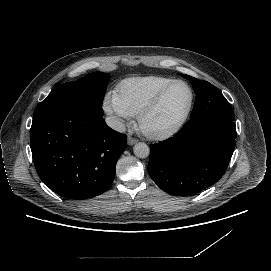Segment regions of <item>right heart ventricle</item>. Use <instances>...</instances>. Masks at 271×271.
I'll use <instances>...</instances> for the list:
<instances>
[{"label": "right heart ventricle", "mask_w": 271, "mask_h": 271, "mask_svg": "<svg viewBox=\"0 0 271 271\" xmlns=\"http://www.w3.org/2000/svg\"><path fill=\"white\" fill-rule=\"evenodd\" d=\"M174 78L163 75L131 77L117 86L118 98L130 116L137 117Z\"/></svg>", "instance_id": "obj_1"}]
</instances>
